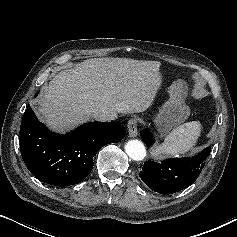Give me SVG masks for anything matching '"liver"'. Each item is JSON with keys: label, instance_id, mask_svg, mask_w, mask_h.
Instances as JSON below:
<instances>
[{"label": "liver", "instance_id": "6515ba94", "mask_svg": "<svg viewBox=\"0 0 237 237\" xmlns=\"http://www.w3.org/2000/svg\"><path fill=\"white\" fill-rule=\"evenodd\" d=\"M158 61L94 58L59 72L38 101L41 119L55 131L97 111L136 113L149 108L162 84Z\"/></svg>", "mask_w": 237, "mask_h": 237}]
</instances>
